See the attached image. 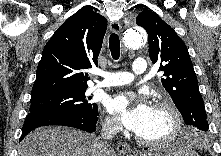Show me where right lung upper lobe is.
Returning <instances> with one entry per match:
<instances>
[{
    "instance_id": "obj_1",
    "label": "right lung upper lobe",
    "mask_w": 221,
    "mask_h": 156,
    "mask_svg": "<svg viewBox=\"0 0 221 156\" xmlns=\"http://www.w3.org/2000/svg\"><path fill=\"white\" fill-rule=\"evenodd\" d=\"M107 20L88 9L69 17L45 45L31 99L87 89L86 70L97 66Z\"/></svg>"
}]
</instances>
